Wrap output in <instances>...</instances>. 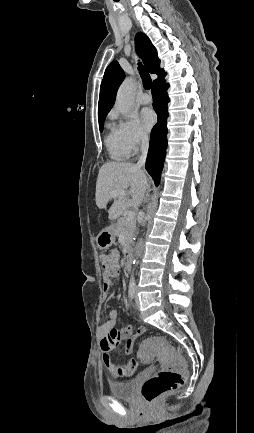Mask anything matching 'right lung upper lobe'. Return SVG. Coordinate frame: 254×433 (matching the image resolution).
Returning a JSON list of instances; mask_svg holds the SVG:
<instances>
[{
    "instance_id": "right-lung-upper-lobe-1",
    "label": "right lung upper lobe",
    "mask_w": 254,
    "mask_h": 433,
    "mask_svg": "<svg viewBox=\"0 0 254 433\" xmlns=\"http://www.w3.org/2000/svg\"><path fill=\"white\" fill-rule=\"evenodd\" d=\"M136 50L142 58L146 68L150 73H156L158 81L165 75L163 70H160V60L157 56V51L152 45L149 38L142 32L135 36ZM125 77V73L117 61H112L105 70V74L100 86V97L98 104V119L104 121L106 115L114 105L116 92Z\"/></svg>"
}]
</instances>
